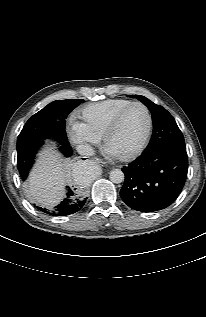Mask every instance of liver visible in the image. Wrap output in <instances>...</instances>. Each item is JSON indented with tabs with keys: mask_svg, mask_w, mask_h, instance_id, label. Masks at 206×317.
Returning <instances> with one entry per match:
<instances>
[{
	"mask_svg": "<svg viewBox=\"0 0 206 317\" xmlns=\"http://www.w3.org/2000/svg\"><path fill=\"white\" fill-rule=\"evenodd\" d=\"M39 157L28 179L29 195L43 207L53 208L65 196V185L71 178V163L50 148Z\"/></svg>",
	"mask_w": 206,
	"mask_h": 317,
	"instance_id": "1",
	"label": "liver"
}]
</instances>
